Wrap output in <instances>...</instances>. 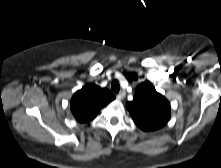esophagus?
<instances>
[{"instance_id": "1", "label": "esophagus", "mask_w": 221, "mask_h": 168, "mask_svg": "<svg viewBox=\"0 0 221 168\" xmlns=\"http://www.w3.org/2000/svg\"><path fill=\"white\" fill-rule=\"evenodd\" d=\"M125 96H126L125 90H121V91L119 92V94L117 95V97H118L119 100L124 99Z\"/></svg>"}]
</instances>
